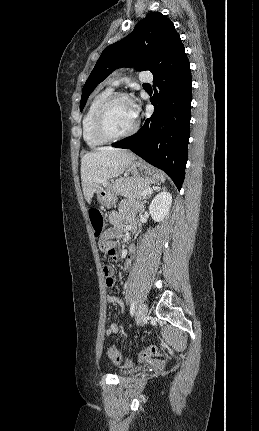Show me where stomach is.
Listing matches in <instances>:
<instances>
[{
  "label": "stomach",
  "instance_id": "obj_1",
  "mask_svg": "<svg viewBox=\"0 0 259 431\" xmlns=\"http://www.w3.org/2000/svg\"><path fill=\"white\" fill-rule=\"evenodd\" d=\"M127 171L132 174L133 178L139 179L147 185L156 184L160 181V173L142 161H131L127 166ZM96 194L98 201L104 206L110 207L116 201V195L110 182L100 185Z\"/></svg>",
  "mask_w": 259,
  "mask_h": 431
}]
</instances>
